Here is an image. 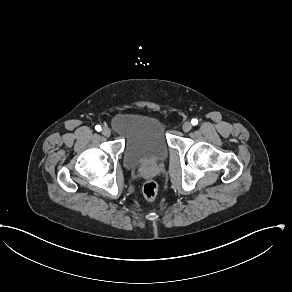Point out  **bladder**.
I'll use <instances>...</instances> for the list:
<instances>
[{"instance_id":"31cf9c89","label":"bladder","mask_w":292,"mask_h":292,"mask_svg":"<svg viewBox=\"0 0 292 292\" xmlns=\"http://www.w3.org/2000/svg\"><path fill=\"white\" fill-rule=\"evenodd\" d=\"M114 132L124 140L127 167L164 160L169 154L166 121L150 112H124L112 119Z\"/></svg>"}]
</instances>
